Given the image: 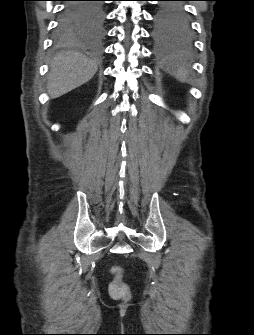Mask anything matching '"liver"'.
<instances>
[{
	"label": "liver",
	"instance_id": "6515ba94",
	"mask_svg": "<svg viewBox=\"0 0 254 335\" xmlns=\"http://www.w3.org/2000/svg\"><path fill=\"white\" fill-rule=\"evenodd\" d=\"M97 69V63L80 52L59 53L50 65L47 84L50 97H60L83 85L95 75Z\"/></svg>",
	"mask_w": 254,
	"mask_h": 335
}]
</instances>
